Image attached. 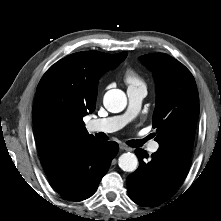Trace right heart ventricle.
Masks as SVG:
<instances>
[{"label":"right heart ventricle","instance_id":"obj_1","mask_svg":"<svg viewBox=\"0 0 221 221\" xmlns=\"http://www.w3.org/2000/svg\"><path fill=\"white\" fill-rule=\"evenodd\" d=\"M124 79L130 86H144L141 78L132 69L125 72Z\"/></svg>","mask_w":221,"mask_h":221}]
</instances>
